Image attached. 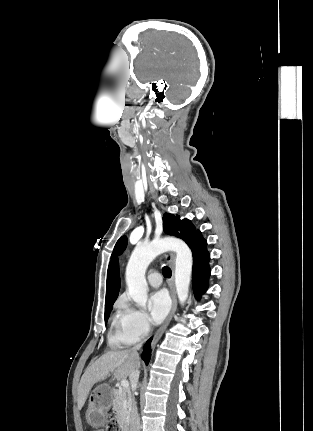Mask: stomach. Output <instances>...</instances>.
<instances>
[{"mask_svg":"<svg viewBox=\"0 0 313 431\" xmlns=\"http://www.w3.org/2000/svg\"><path fill=\"white\" fill-rule=\"evenodd\" d=\"M112 400L113 390L106 384L99 385L92 391L86 413L89 424L99 427L107 423Z\"/></svg>","mask_w":313,"mask_h":431,"instance_id":"obj_1","label":"stomach"}]
</instances>
